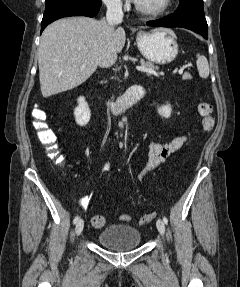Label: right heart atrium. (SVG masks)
Wrapping results in <instances>:
<instances>
[{
  "label": "right heart atrium",
  "instance_id": "right-heart-atrium-1",
  "mask_svg": "<svg viewBox=\"0 0 240 287\" xmlns=\"http://www.w3.org/2000/svg\"><path fill=\"white\" fill-rule=\"evenodd\" d=\"M110 9L119 10L124 6V0H102Z\"/></svg>",
  "mask_w": 240,
  "mask_h": 287
}]
</instances>
